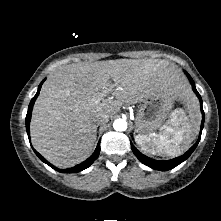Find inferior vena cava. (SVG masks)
Here are the masks:
<instances>
[{"instance_id":"inferior-vena-cava-1","label":"inferior vena cava","mask_w":221,"mask_h":221,"mask_svg":"<svg viewBox=\"0 0 221 221\" xmlns=\"http://www.w3.org/2000/svg\"><path fill=\"white\" fill-rule=\"evenodd\" d=\"M109 120L108 115L106 114H97L95 117V123L98 125L105 124Z\"/></svg>"}]
</instances>
